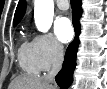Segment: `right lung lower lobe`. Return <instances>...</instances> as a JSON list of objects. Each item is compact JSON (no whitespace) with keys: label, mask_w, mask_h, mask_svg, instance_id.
Masks as SVG:
<instances>
[{"label":"right lung lower lobe","mask_w":107,"mask_h":89,"mask_svg":"<svg viewBox=\"0 0 107 89\" xmlns=\"http://www.w3.org/2000/svg\"><path fill=\"white\" fill-rule=\"evenodd\" d=\"M73 26L75 29V39L70 43L66 50L62 69L56 76V82L61 89H67L73 81V72L76 66V52L79 44L80 23L79 18L82 14L81 0H71Z\"/></svg>","instance_id":"right-lung-lower-lobe-1"}]
</instances>
